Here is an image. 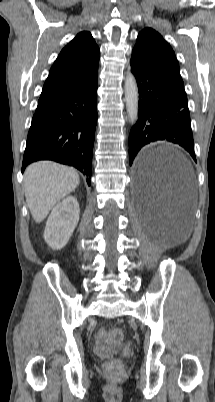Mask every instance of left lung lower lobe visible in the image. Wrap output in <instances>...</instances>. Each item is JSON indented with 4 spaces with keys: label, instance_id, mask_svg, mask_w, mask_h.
Wrapping results in <instances>:
<instances>
[{
    "label": "left lung lower lobe",
    "instance_id": "obj_1",
    "mask_svg": "<svg viewBox=\"0 0 215 402\" xmlns=\"http://www.w3.org/2000/svg\"><path fill=\"white\" fill-rule=\"evenodd\" d=\"M130 64L139 90L138 120L129 135L130 165L143 146L157 141L180 145L196 161L184 86L144 66ZM140 175L148 176L146 171Z\"/></svg>",
    "mask_w": 215,
    "mask_h": 402
}]
</instances>
